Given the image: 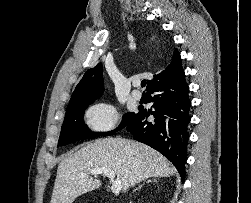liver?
<instances>
[{
    "instance_id": "obj_1",
    "label": "liver",
    "mask_w": 251,
    "mask_h": 203,
    "mask_svg": "<svg viewBox=\"0 0 251 203\" xmlns=\"http://www.w3.org/2000/svg\"><path fill=\"white\" fill-rule=\"evenodd\" d=\"M102 167L114 171L123 191L147 178L176 172L163 155L144 144L121 138L98 139L60 162L50 203H73L78 196L98 189L100 180L89 174Z\"/></svg>"
}]
</instances>
